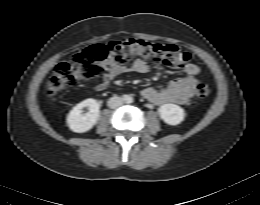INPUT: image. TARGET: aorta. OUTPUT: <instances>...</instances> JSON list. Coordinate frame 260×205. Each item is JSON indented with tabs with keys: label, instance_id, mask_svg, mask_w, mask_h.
Masks as SVG:
<instances>
[{
	"label": "aorta",
	"instance_id": "1",
	"mask_svg": "<svg viewBox=\"0 0 260 205\" xmlns=\"http://www.w3.org/2000/svg\"><path fill=\"white\" fill-rule=\"evenodd\" d=\"M125 100H126V102L130 103V102H132V97L131 96H127Z\"/></svg>",
	"mask_w": 260,
	"mask_h": 205
}]
</instances>
